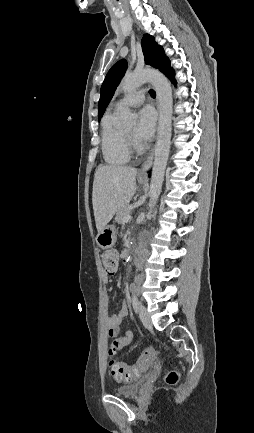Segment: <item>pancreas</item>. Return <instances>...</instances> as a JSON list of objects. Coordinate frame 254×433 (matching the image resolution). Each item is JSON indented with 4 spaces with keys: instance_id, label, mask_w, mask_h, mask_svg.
<instances>
[{
    "instance_id": "obj_1",
    "label": "pancreas",
    "mask_w": 254,
    "mask_h": 433,
    "mask_svg": "<svg viewBox=\"0 0 254 433\" xmlns=\"http://www.w3.org/2000/svg\"><path fill=\"white\" fill-rule=\"evenodd\" d=\"M130 213H131V207L129 205L124 206L123 208H121L117 212L116 217H115V221L118 224H123L124 223V221H123L124 217L127 215H130Z\"/></svg>"
}]
</instances>
